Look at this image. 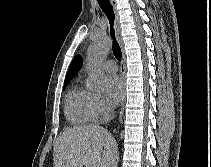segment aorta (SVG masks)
Returning a JSON list of instances; mask_svg holds the SVG:
<instances>
[{
	"label": "aorta",
	"mask_w": 211,
	"mask_h": 167,
	"mask_svg": "<svg viewBox=\"0 0 211 167\" xmlns=\"http://www.w3.org/2000/svg\"><path fill=\"white\" fill-rule=\"evenodd\" d=\"M110 49V41L102 37L95 41L88 50V87L91 90L99 91L103 88L106 75L102 69V62Z\"/></svg>",
	"instance_id": "1"
}]
</instances>
